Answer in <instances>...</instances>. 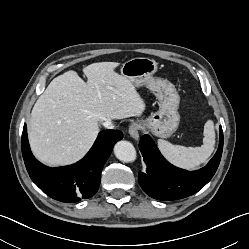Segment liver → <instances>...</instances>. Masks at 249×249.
I'll list each match as a JSON object with an SVG mask.
<instances>
[{
	"label": "liver",
	"mask_w": 249,
	"mask_h": 249,
	"mask_svg": "<svg viewBox=\"0 0 249 249\" xmlns=\"http://www.w3.org/2000/svg\"><path fill=\"white\" fill-rule=\"evenodd\" d=\"M116 62H99L54 78L36 101L29 121L31 149L41 162L69 165L93 145L98 122L141 116L145 103L133 83L115 72Z\"/></svg>",
	"instance_id": "6515ba94"
}]
</instances>
